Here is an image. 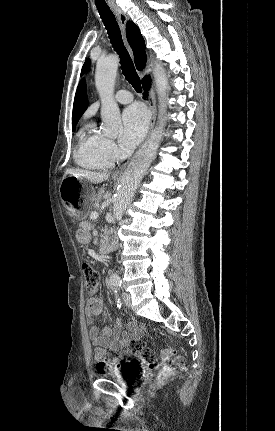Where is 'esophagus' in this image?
I'll return each mask as SVG.
<instances>
[{
	"mask_svg": "<svg viewBox=\"0 0 275 431\" xmlns=\"http://www.w3.org/2000/svg\"><path fill=\"white\" fill-rule=\"evenodd\" d=\"M114 13L117 17V20L119 22V26L121 28V32H122V37L124 40V43L127 47V49L129 50V52L132 54V50L128 44L127 38H126V24L128 21V17L127 15L119 8H115L114 9ZM147 105L149 106L150 110H151V122H150V127H149V133L148 135H150V133L152 132L154 125H155V121H156V115H157V111H156V102H155V96H154V92L153 90H149L148 91V96H147ZM128 163L123 164L119 169L115 170L113 175L115 176H120L123 174L125 168L127 167Z\"/></svg>",
	"mask_w": 275,
	"mask_h": 431,
	"instance_id": "1",
	"label": "esophagus"
}]
</instances>
